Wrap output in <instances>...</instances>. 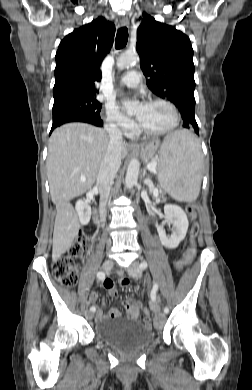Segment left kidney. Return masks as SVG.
Returning a JSON list of instances; mask_svg holds the SVG:
<instances>
[{"label": "left kidney", "instance_id": "obj_1", "mask_svg": "<svg viewBox=\"0 0 252 390\" xmlns=\"http://www.w3.org/2000/svg\"><path fill=\"white\" fill-rule=\"evenodd\" d=\"M165 221L157 226V232L162 245L168 249H175L179 243L185 238L189 222L184 210L173 204L164 206ZM172 224V234L167 236L164 225Z\"/></svg>", "mask_w": 252, "mask_h": 390}]
</instances>
